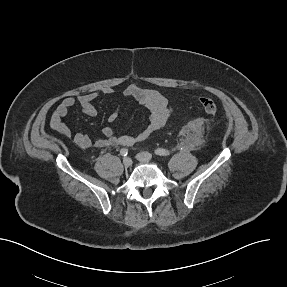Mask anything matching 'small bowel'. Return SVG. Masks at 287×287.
Listing matches in <instances>:
<instances>
[{"label": "small bowel", "mask_w": 287, "mask_h": 287, "mask_svg": "<svg viewBox=\"0 0 287 287\" xmlns=\"http://www.w3.org/2000/svg\"><path fill=\"white\" fill-rule=\"evenodd\" d=\"M114 90L103 88L76 97H66L57 106L52 114V125L67 139L72 140L75 145L81 148L92 146L105 148L114 146H132L151 136L154 132L165 126L171 112L172 105L169 99L157 90L141 88L135 84L128 85L123 91V96L133 99L143 105L150 112V119L147 126L135 135H116L114 128L107 126L102 129V137L92 138L86 133L73 134L63 119L68 115L70 109L76 104L81 106L83 114L93 117L97 114L94 101L100 95H112ZM120 114L117 108L109 116L110 122H115Z\"/></svg>", "instance_id": "obj_1"}]
</instances>
